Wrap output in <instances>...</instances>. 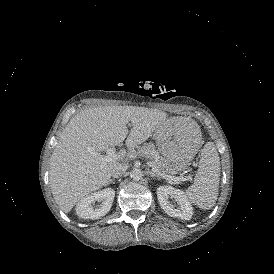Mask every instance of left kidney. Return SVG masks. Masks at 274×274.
I'll use <instances>...</instances> for the list:
<instances>
[{
  "instance_id": "obj_1",
  "label": "left kidney",
  "mask_w": 274,
  "mask_h": 274,
  "mask_svg": "<svg viewBox=\"0 0 274 274\" xmlns=\"http://www.w3.org/2000/svg\"><path fill=\"white\" fill-rule=\"evenodd\" d=\"M157 197L161 208L169 216L183 220L192 218L193 208L183 191L172 186H160L157 188ZM169 198L174 199L176 203H170Z\"/></svg>"
}]
</instances>
